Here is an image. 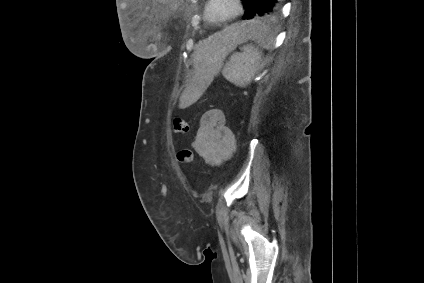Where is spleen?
Masks as SVG:
<instances>
[{
  "label": "spleen",
  "mask_w": 424,
  "mask_h": 283,
  "mask_svg": "<svg viewBox=\"0 0 424 283\" xmlns=\"http://www.w3.org/2000/svg\"><path fill=\"white\" fill-rule=\"evenodd\" d=\"M246 26H249L246 39L257 40L266 34L257 22L249 23ZM261 61L262 53H260L254 46L247 45L241 48V53H234L231 56L230 61L226 63L222 74L228 81L237 86L244 87L252 81ZM219 69L220 65L215 69L214 74L217 73Z\"/></svg>",
  "instance_id": "obj_1"
}]
</instances>
